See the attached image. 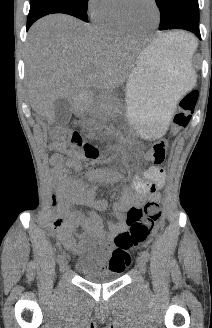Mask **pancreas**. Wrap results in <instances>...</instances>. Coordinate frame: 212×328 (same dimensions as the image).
I'll use <instances>...</instances> for the list:
<instances>
[{
	"mask_svg": "<svg viewBox=\"0 0 212 328\" xmlns=\"http://www.w3.org/2000/svg\"><path fill=\"white\" fill-rule=\"evenodd\" d=\"M117 109L116 98L111 93H104L99 97L97 102H89L85 108V111L92 118H99L103 112H116ZM78 123L85 126L88 121L86 118H82Z\"/></svg>",
	"mask_w": 212,
	"mask_h": 328,
	"instance_id": "obj_1",
	"label": "pancreas"
}]
</instances>
